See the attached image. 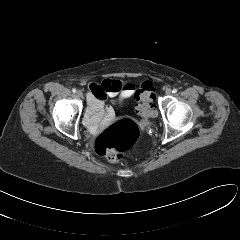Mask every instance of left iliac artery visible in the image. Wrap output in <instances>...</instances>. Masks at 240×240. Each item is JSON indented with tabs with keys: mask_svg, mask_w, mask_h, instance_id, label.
Here are the masks:
<instances>
[{
	"mask_svg": "<svg viewBox=\"0 0 240 240\" xmlns=\"http://www.w3.org/2000/svg\"><path fill=\"white\" fill-rule=\"evenodd\" d=\"M177 91L178 90L175 88V89L172 90V93H177Z\"/></svg>",
	"mask_w": 240,
	"mask_h": 240,
	"instance_id": "1",
	"label": "left iliac artery"
}]
</instances>
